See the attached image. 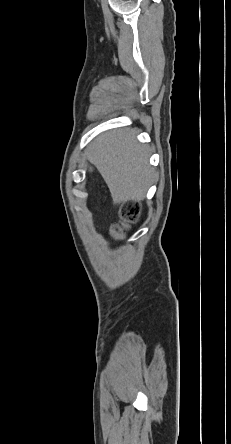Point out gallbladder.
Listing matches in <instances>:
<instances>
[{
    "label": "gallbladder",
    "instance_id": "1",
    "mask_svg": "<svg viewBox=\"0 0 231 444\" xmlns=\"http://www.w3.org/2000/svg\"><path fill=\"white\" fill-rule=\"evenodd\" d=\"M88 169H89V171H91V170H92V168H91V167H88Z\"/></svg>",
    "mask_w": 231,
    "mask_h": 444
}]
</instances>
